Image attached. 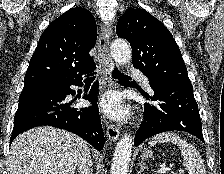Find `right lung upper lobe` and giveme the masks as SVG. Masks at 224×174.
Wrapping results in <instances>:
<instances>
[{
    "mask_svg": "<svg viewBox=\"0 0 224 174\" xmlns=\"http://www.w3.org/2000/svg\"><path fill=\"white\" fill-rule=\"evenodd\" d=\"M96 39L95 19L87 9L66 11L41 35L25 74L24 86L90 72L94 61L89 51Z\"/></svg>",
    "mask_w": 224,
    "mask_h": 174,
    "instance_id": "obj_1",
    "label": "right lung upper lobe"
}]
</instances>
